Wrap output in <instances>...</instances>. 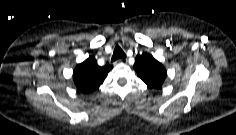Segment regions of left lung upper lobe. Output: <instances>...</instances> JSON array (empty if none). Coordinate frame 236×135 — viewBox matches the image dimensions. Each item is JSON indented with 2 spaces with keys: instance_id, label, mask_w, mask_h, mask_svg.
<instances>
[{
  "instance_id": "1",
  "label": "left lung upper lobe",
  "mask_w": 236,
  "mask_h": 135,
  "mask_svg": "<svg viewBox=\"0 0 236 135\" xmlns=\"http://www.w3.org/2000/svg\"><path fill=\"white\" fill-rule=\"evenodd\" d=\"M134 69L149 87L155 89L161 88L167 76L164 66L148 53L136 56Z\"/></svg>"
}]
</instances>
